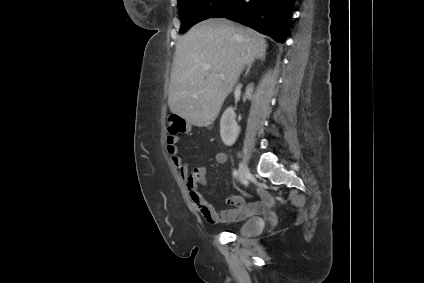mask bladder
Instances as JSON below:
<instances>
[{"mask_svg": "<svg viewBox=\"0 0 424 283\" xmlns=\"http://www.w3.org/2000/svg\"><path fill=\"white\" fill-rule=\"evenodd\" d=\"M264 228V221L261 218L254 217L246 220L238 228V234L242 237L249 238L259 235Z\"/></svg>", "mask_w": 424, "mask_h": 283, "instance_id": "1", "label": "bladder"}]
</instances>
